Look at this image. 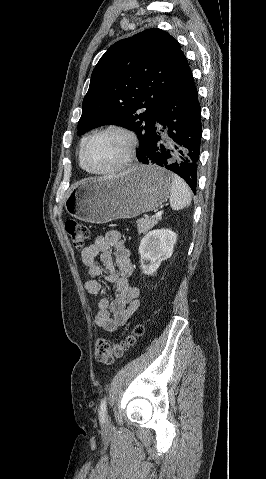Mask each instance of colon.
Returning a JSON list of instances; mask_svg holds the SVG:
<instances>
[{"instance_id":"obj_1","label":"colon","mask_w":266,"mask_h":479,"mask_svg":"<svg viewBox=\"0 0 266 479\" xmlns=\"http://www.w3.org/2000/svg\"><path fill=\"white\" fill-rule=\"evenodd\" d=\"M65 230L76 249H82L85 247L90 236L89 229L85 225L76 220H68L65 223ZM142 334L143 327L137 325L133 332L122 340L110 341L99 339L95 347L96 360L101 364L111 365L115 359L121 358L124 353L134 345L136 337H139Z\"/></svg>"}]
</instances>
